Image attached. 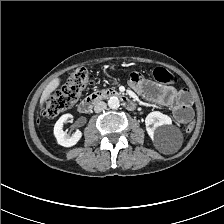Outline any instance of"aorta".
<instances>
[{"mask_svg": "<svg viewBox=\"0 0 224 224\" xmlns=\"http://www.w3.org/2000/svg\"><path fill=\"white\" fill-rule=\"evenodd\" d=\"M108 106L111 109H117L120 106V101L117 97H110L108 100Z\"/></svg>", "mask_w": 224, "mask_h": 224, "instance_id": "1", "label": "aorta"}]
</instances>
